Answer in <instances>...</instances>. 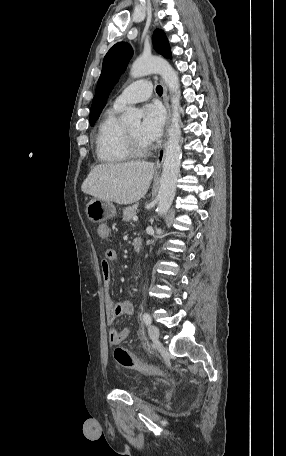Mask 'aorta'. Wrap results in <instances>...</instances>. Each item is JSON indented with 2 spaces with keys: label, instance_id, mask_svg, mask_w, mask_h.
Masks as SVG:
<instances>
[{
  "label": "aorta",
  "instance_id": "762f6f07",
  "mask_svg": "<svg viewBox=\"0 0 286 456\" xmlns=\"http://www.w3.org/2000/svg\"><path fill=\"white\" fill-rule=\"evenodd\" d=\"M152 73L161 75L163 81L172 93L171 97V126L166 145L163 170L158 191L157 213L162 216L170 209L175 193L181 163V118H180V83L178 74L172 66L163 58L140 57L132 64L130 76L133 78L143 77ZM142 112L134 107L128 108L123 121L127 124L140 123Z\"/></svg>",
  "mask_w": 286,
  "mask_h": 456
}]
</instances>
